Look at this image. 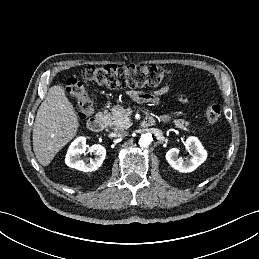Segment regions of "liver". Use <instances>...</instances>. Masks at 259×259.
<instances>
[{
  "instance_id": "obj_1",
  "label": "liver",
  "mask_w": 259,
  "mask_h": 259,
  "mask_svg": "<svg viewBox=\"0 0 259 259\" xmlns=\"http://www.w3.org/2000/svg\"><path fill=\"white\" fill-rule=\"evenodd\" d=\"M78 116L64 87H50L41 103L33 127V150L39 163L48 166L55 155L75 137Z\"/></svg>"
}]
</instances>
